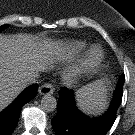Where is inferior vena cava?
Here are the masks:
<instances>
[{"label":"inferior vena cava","instance_id":"inferior-vena-cava-1","mask_svg":"<svg viewBox=\"0 0 135 135\" xmlns=\"http://www.w3.org/2000/svg\"><path fill=\"white\" fill-rule=\"evenodd\" d=\"M37 75L34 72L28 73V75L26 76V83L31 85V84H35L37 83V79H36Z\"/></svg>","mask_w":135,"mask_h":135}]
</instances>
